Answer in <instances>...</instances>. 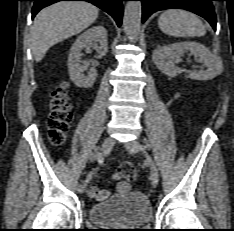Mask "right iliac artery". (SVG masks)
Returning <instances> with one entry per match:
<instances>
[{"instance_id": "1", "label": "right iliac artery", "mask_w": 234, "mask_h": 231, "mask_svg": "<svg viewBox=\"0 0 234 231\" xmlns=\"http://www.w3.org/2000/svg\"><path fill=\"white\" fill-rule=\"evenodd\" d=\"M98 158H99V153H98V152L91 153L90 156H89V159H90V161H92V162L95 161V160L98 159ZM92 176H93V172H90V173L87 175V178H86V180H85L84 186H86V185L90 182Z\"/></svg>"}]
</instances>
